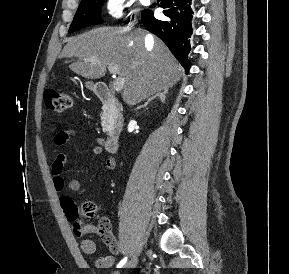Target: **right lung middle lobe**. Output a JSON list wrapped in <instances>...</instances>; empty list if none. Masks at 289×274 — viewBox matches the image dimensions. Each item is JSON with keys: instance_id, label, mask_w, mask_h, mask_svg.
<instances>
[{"instance_id": "dd1d6c3e", "label": "right lung middle lobe", "mask_w": 289, "mask_h": 274, "mask_svg": "<svg viewBox=\"0 0 289 274\" xmlns=\"http://www.w3.org/2000/svg\"><path fill=\"white\" fill-rule=\"evenodd\" d=\"M104 1L105 0H82L69 28V33L89 25L102 23L100 13Z\"/></svg>"}]
</instances>
